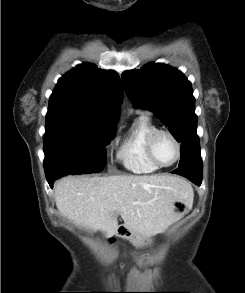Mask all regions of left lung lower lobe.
<instances>
[{"mask_svg":"<svg viewBox=\"0 0 245 293\" xmlns=\"http://www.w3.org/2000/svg\"><path fill=\"white\" fill-rule=\"evenodd\" d=\"M174 174L182 175L188 178L190 181L195 183L196 185L200 186L202 182V172L194 171L188 168H178L172 171Z\"/></svg>","mask_w":245,"mask_h":293,"instance_id":"obj_1","label":"left lung lower lobe"}]
</instances>
